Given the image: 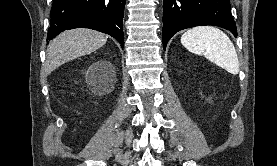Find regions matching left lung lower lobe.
<instances>
[{
    "label": "left lung lower lobe",
    "mask_w": 277,
    "mask_h": 166,
    "mask_svg": "<svg viewBox=\"0 0 277 166\" xmlns=\"http://www.w3.org/2000/svg\"><path fill=\"white\" fill-rule=\"evenodd\" d=\"M201 25L225 28L237 37L229 0H164L163 46L178 31Z\"/></svg>",
    "instance_id": "1"
}]
</instances>
